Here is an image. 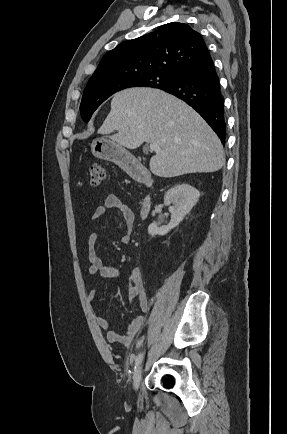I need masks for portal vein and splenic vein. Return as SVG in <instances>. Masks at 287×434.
<instances>
[{
    "label": "portal vein and splenic vein",
    "instance_id": "obj_1",
    "mask_svg": "<svg viewBox=\"0 0 287 434\" xmlns=\"http://www.w3.org/2000/svg\"><path fill=\"white\" fill-rule=\"evenodd\" d=\"M149 149H150V151L151 152H160V147H159V145L157 144V143H150L149 144Z\"/></svg>",
    "mask_w": 287,
    "mask_h": 434
}]
</instances>
